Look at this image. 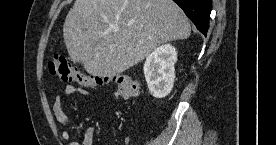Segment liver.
I'll return each mask as SVG.
<instances>
[{
    "label": "liver",
    "mask_w": 276,
    "mask_h": 145,
    "mask_svg": "<svg viewBox=\"0 0 276 145\" xmlns=\"http://www.w3.org/2000/svg\"><path fill=\"white\" fill-rule=\"evenodd\" d=\"M190 33L188 18L173 0H75L63 25L72 61L99 77L122 73L157 46Z\"/></svg>",
    "instance_id": "1"
}]
</instances>
